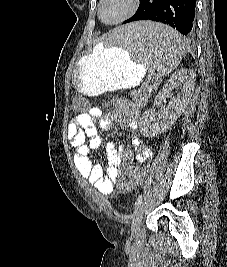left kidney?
<instances>
[{
	"label": "left kidney",
	"instance_id": "left-kidney-1",
	"mask_svg": "<svg viewBox=\"0 0 227 267\" xmlns=\"http://www.w3.org/2000/svg\"><path fill=\"white\" fill-rule=\"evenodd\" d=\"M195 86V73L191 69H181L170 77L155 98L153 110H147L139 121L140 131L146 137H155L164 133L179 118L187 107ZM177 90V96L172 94ZM170 97L168 106L162 105V100ZM160 107V113L154 119V108Z\"/></svg>",
	"mask_w": 227,
	"mask_h": 267
}]
</instances>
